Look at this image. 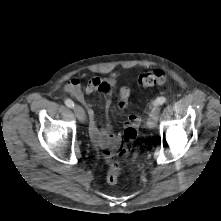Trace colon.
Returning <instances> with one entry per match:
<instances>
[{
    "label": "colon",
    "mask_w": 221,
    "mask_h": 221,
    "mask_svg": "<svg viewBox=\"0 0 221 221\" xmlns=\"http://www.w3.org/2000/svg\"><path fill=\"white\" fill-rule=\"evenodd\" d=\"M165 73L160 69H154L152 71L143 73L139 76V84L142 87H153L157 85H162L165 82ZM130 96V90L126 87L122 88L119 92L118 96V104L125 107L128 98ZM121 107V108H123ZM138 135L137 125L129 126L124 131V141L125 145L123 149L119 153V157H126L131 151V145L136 140ZM109 167L106 173V181L109 184H116L121 175V165L118 161H116L113 157L109 160Z\"/></svg>",
    "instance_id": "1"
}]
</instances>
